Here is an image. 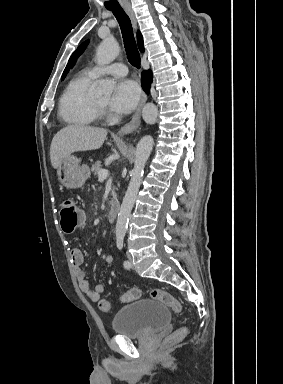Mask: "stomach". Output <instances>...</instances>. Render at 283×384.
Instances as JSON below:
<instances>
[{"label": "stomach", "mask_w": 283, "mask_h": 384, "mask_svg": "<svg viewBox=\"0 0 283 384\" xmlns=\"http://www.w3.org/2000/svg\"><path fill=\"white\" fill-rule=\"evenodd\" d=\"M57 176L65 188H81L90 178V170L88 166H80V160L76 156H68L57 168Z\"/></svg>", "instance_id": "0dacf381"}]
</instances>
